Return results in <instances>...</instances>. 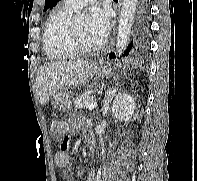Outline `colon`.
<instances>
[{
    "instance_id": "1",
    "label": "colon",
    "mask_w": 197,
    "mask_h": 181,
    "mask_svg": "<svg viewBox=\"0 0 197 181\" xmlns=\"http://www.w3.org/2000/svg\"><path fill=\"white\" fill-rule=\"evenodd\" d=\"M49 132L51 135L55 137H59L61 135V124L59 122L53 121L48 126ZM67 140L64 139L62 143V148H66Z\"/></svg>"
}]
</instances>
